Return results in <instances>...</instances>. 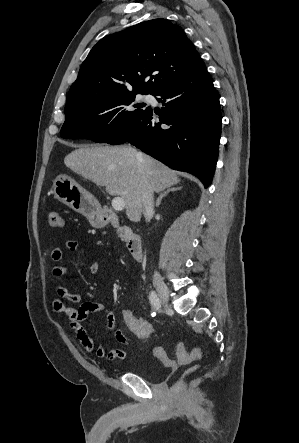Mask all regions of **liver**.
<instances>
[{"instance_id": "1", "label": "liver", "mask_w": 299, "mask_h": 443, "mask_svg": "<svg viewBox=\"0 0 299 443\" xmlns=\"http://www.w3.org/2000/svg\"><path fill=\"white\" fill-rule=\"evenodd\" d=\"M130 146H80L64 158L73 172L105 186L106 192L124 199L126 215L133 222L141 219V195L145 176L155 192L180 182L176 171Z\"/></svg>"}]
</instances>
